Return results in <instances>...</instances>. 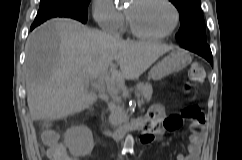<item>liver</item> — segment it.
I'll list each match as a JSON object with an SVG mask.
<instances>
[{
	"label": "liver",
	"instance_id": "obj_1",
	"mask_svg": "<svg viewBox=\"0 0 242 160\" xmlns=\"http://www.w3.org/2000/svg\"><path fill=\"white\" fill-rule=\"evenodd\" d=\"M173 49L162 43L119 40L72 19L50 20L33 30L26 42L30 116L55 120L84 111L97 100L85 87L88 79L103 76L117 90Z\"/></svg>",
	"mask_w": 242,
	"mask_h": 160
}]
</instances>
